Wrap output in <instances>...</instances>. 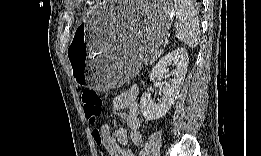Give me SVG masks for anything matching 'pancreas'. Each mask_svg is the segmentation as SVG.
Instances as JSON below:
<instances>
[{"label":"pancreas","instance_id":"pancreas-1","mask_svg":"<svg viewBox=\"0 0 261 156\" xmlns=\"http://www.w3.org/2000/svg\"><path fill=\"white\" fill-rule=\"evenodd\" d=\"M160 55H161L160 51L154 52L152 55H150L148 57V59L146 60V62L144 64H148L149 62L150 63L154 62Z\"/></svg>","mask_w":261,"mask_h":156}]
</instances>
